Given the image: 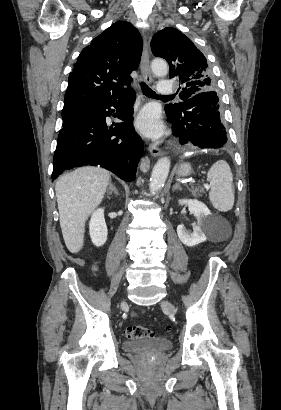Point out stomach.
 Listing matches in <instances>:
<instances>
[{"mask_svg": "<svg viewBox=\"0 0 281 410\" xmlns=\"http://www.w3.org/2000/svg\"><path fill=\"white\" fill-rule=\"evenodd\" d=\"M192 172V167L188 163H183L179 166L177 170V175L180 177H186L189 176Z\"/></svg>", "mask_w": 281, "mask_h": 410, "instance_id": "obj_1", "label": "stomach"}]
</instances>
